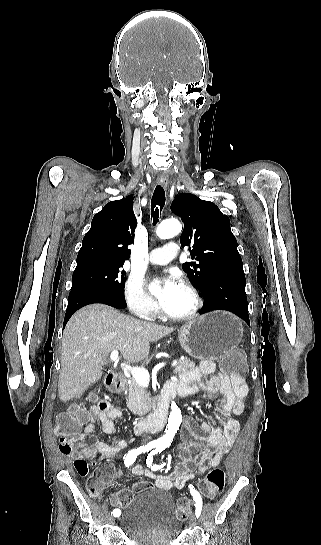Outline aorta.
Masks as SVG:
<instances>
[{"label": "aorta", "mask_w": 321, "mask_h": 545, "mask_svg": "<svg viewBox=\"0 0 321 545\" xmlns=\"http://www.w3.org/2000/svg\"><path fill=\"white\" fill-rule=\"evenodd\" d=\"M182 230V226L177 219H168L161 222L157 227L156 234L160 239H170L178 235ZM157 287L152 286L151 291H156ZM182 421V415L180 409L173 402L171 405V412L168 420V425L165 431V435L160 438V441L168 445L173 440L175 433L177 432Z\"/></svg>", "instance_id": "1"}]
</instances>
